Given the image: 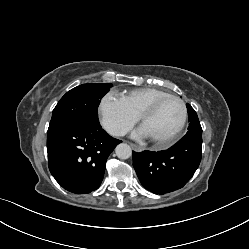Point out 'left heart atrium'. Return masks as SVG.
Returning a JSON list of instances; mask_svg holds the SVG:
<instances>
[{
  "label": "left heart atrium",
  "mask_w": 249,
  "mask_h": 249,
  "mask_svg": "<svg viewBox=\"0 0 249 249\" xmlns=\"http://www.w3.org/2000/svg\"><path fill=\"white\" fill-rule=\"evenodd\" d=\"M134 137L136 138H144L147 137L146 133L144 132V130L142 129V127H140L134 134Z\"/></svg>",
  "instance_id": "obj_1"
}]
</instances>
